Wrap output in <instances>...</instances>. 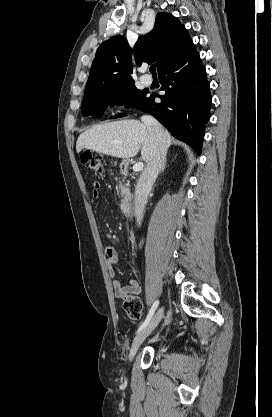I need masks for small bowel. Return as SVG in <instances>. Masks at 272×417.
<instances>
[{
  "label": "small bowel",
  "instance_id": "1",
  "mask_svg": "<svg viewBox=\"0 0 272 417\" xmlns=\"http://www.w3.org/2000/svg\"><path fill=\"white\" fill-rule=\"evenodd\" d=\"M100 183L95 182L93 184L92 197L97 200L99 198ZM105 253L107 255L109 274L113 278V293L118 299H124L127 295H139L141 287L136 279L128 280L126 285H122L119 280L115 278V266L119 262V255L115 247L106 246Z\"/></svg>",
  "mask_w": 272,
  "mask_h": 417
}]
</instances>
